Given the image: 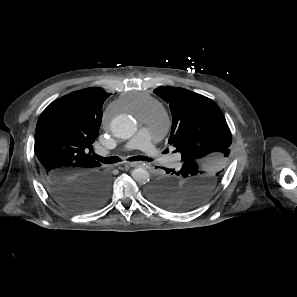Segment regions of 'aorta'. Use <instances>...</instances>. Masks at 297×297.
Returning <instances> with one entry per match:
<instances>
[{
	"mask_svg": "<svg viewBox=\"0 0 297 297\" xmlns=\"http://www.w3.org/2000/svg\"><path fill=\"white\" fill-rule=\"evenodd\" d=\"M112 133L122 139L131 138L136 131L134 121L126 114L116 116L111 122ZM132 177L138 184H146L149 181L150 175L143 168H135L132 171Z\"/></svg>",
	"mask_w": 297,
	"mask_h": 297,
	"instance_id": "aorta-1",
	"label": "aorta"
}]
</instances>
